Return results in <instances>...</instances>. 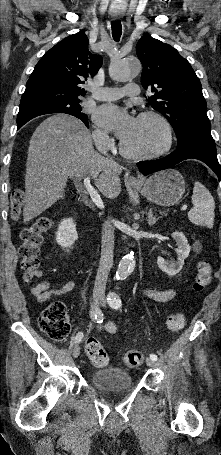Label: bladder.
Returning a JSON list of instances; mask_svg holds the SVG:
<instances>
[{"label":"bladder","mask_w":221,"mask_h":455,"mask_svg":"<svg viewBox=\"0 0 221 455\" xmlns=\"http://www.w3.org/2000/svg\"><path fill=\"white\" fill-rule=\"evenodd\" d=\"M90 384L103 392L127 390L133 387L131 375L121 368H104L90 373Z\"/></svg>","instance_id":"1"}]
</instances>
